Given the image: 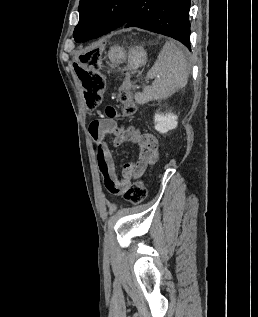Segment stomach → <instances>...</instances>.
Instances as JSON below:
<instances>
[{
	"label": "stomach",
	"instance_id": "stomach-1",
	"mask_svg": "<svg viewBox=\"0 0 258 317\" xmlns=\"http://www.w3.org/2000/svg\"><path fill=\"white\" fill-rule=\"evenodd\" d=\"M111 62H124L127 60L130 68H139L147 62V52L144 46H131L129 50H124L122 46H110L108 50Z\"/></svg>",
	"mask_w": 258,
	"mask_h": 317
}]
</instances>
